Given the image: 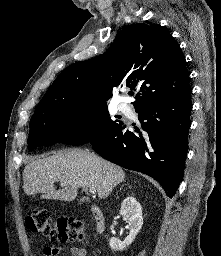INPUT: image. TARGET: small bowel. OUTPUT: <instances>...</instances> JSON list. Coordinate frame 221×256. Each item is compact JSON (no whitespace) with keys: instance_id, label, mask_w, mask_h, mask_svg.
<instances>
[{"instance_id":"obj_1","label":"small bowel","mask_w":221,"mask_h":256,"mask_svg":"<svg viewBox=\"0 0 221 256\" xmlns=\"http://www.w3.org/2000/svg\"><path fill=\"white\" fill-rule=\"evenodd\" d=\"M49 247L52 246L44 249L43 256H56V254L49 251ZM70 254L71 256H86V249L81 246H73L70 248Z\"/></svg>"}]
</instances>
